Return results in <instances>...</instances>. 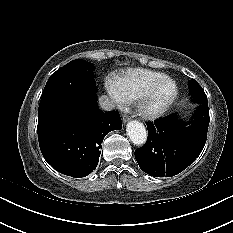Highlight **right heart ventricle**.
I'll list each match as a JSON object with an SVG mask.
<instances>
[{
    "label": "right heart ventricle",
    "mask_w": 233,
    "mask_h": 233,
    "mask_svg": "<svg viewBox=\"0 0 233 233\" xmlns=\"http://www.w3.org/2000/svg\"><path fill=\"white\" fill-rule=\"evenodd\" d=\"M166 75L143 69H132L117 77L114 86L119 95L126 101L137 100L154 83L165 78Z\"/></svg>",
    "instance_id": "e07e8e85"
}]
</instances>
